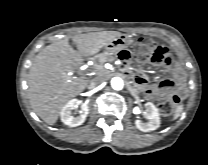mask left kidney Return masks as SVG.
<instances>
[{"label":"left kidney","instance_id":"1","mask_svg":"<svg viewBox=\"0 0 208 165\" xmlns=\"http://www.w3.org/2000/svg\"><path fill=\"white\" fill-rule=\"evenodd\" d=\"M146 117L149 120L144 123L141 120H135L136 127L143 132L156 130L160 126V114L158 109L151 102L145 104Z\"/></svg>","mask_w":208,"mask_h":165}]
</instances>
